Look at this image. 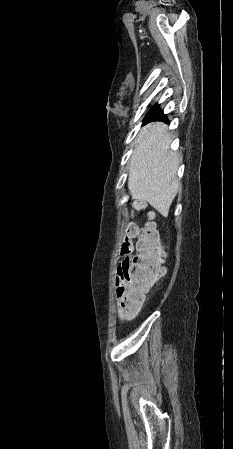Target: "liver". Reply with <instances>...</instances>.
Returning a JSON list of instances; mask_svg holds the SVG:
<instances>
[{
    "label": "liver",
    "instance_id": "liver-1",
    "mask_svg": "<svg viewBox=\"0 0 233 449\" xmlns=\"http://www.w3.org/2000/svg\"><path fill=\"white\" fill-rule=\"evenodd\" d=\"M167 125L150 123L135 141L129 166L128 189L133 199L148 202L163 216L181 189L177 178L180 156L170 150Z\"/></svg>",
    "mask_w": 233,
    "mask_h": 449
}]
</instances>
